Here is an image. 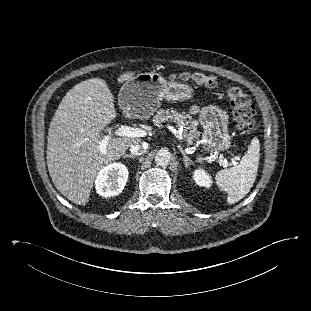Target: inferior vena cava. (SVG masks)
I'll use <instances>...</instances> for the list:
<instances>
[{"label": "inferior vena cava", "instance_id": "inferior-vena-cava-1", "mask_svg": "<svg viewBox=\"0 0 311 311\" xmlns=\"http://www.w3.org/2000/svg\"><path fill=\"white\" fill-rule=\"evenodd\" d=\"M145 151H146L145 146H141V145H139V144H135V145H132V146L130 147V152H131L133 155H141V154H143Z\"/></svg>", "mask_w": 311, "mask_h": 311}]
</instances>
